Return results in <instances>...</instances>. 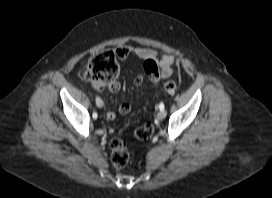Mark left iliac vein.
<instances>
[{
    "label": "left iliac vein",
    "instance_id": "obj_1",
    "mask_svg": "<svg viewBox=\"0 0 272 198\" xmlns=\"http://www.w3.org/2000/svg\"><path fill=\"white\" fill-rule=\"evenodd\" d=\"M166 117V111L165 110H160L157 114V119L163 120Z\"/></svg>",
    "mask_w": 272,
    "mask_h": 198
}]
</instances>
